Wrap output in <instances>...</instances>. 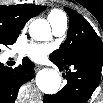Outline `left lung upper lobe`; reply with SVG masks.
<instances>
[{
    "label": "left lung upper lobe",
    "mask_w": 103,
    "mask_h": 103,
    "mask_svg": "<svg viewBox=\"0 0 103 103\" xmlns=\"http://www.w3.org/2000/svg\"><path fill=\"white\" fill-rule=\"evenodd\" d=\"M64 9L70 18L67 39L50 55L52 61L63 65L76 57L87 55L90 46H102L100 37L83 16L68 7Z\"/></svg>",
    "instance_id": "left-lung-upper-lobe-1"
}]
</instances>
